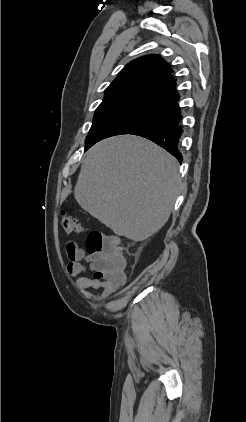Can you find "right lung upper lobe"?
Masks as SVG:
<instances>
[{
    "mask_svg": "<svg viewBox=\"0 0 246 422\" xmlns=\"http://www.w3.org/2000/svg\"><path fill=\"white\" fill-rule=\"evenodd\" d=\"M172 68L156 54L128 63L106 88L99 106H139L161 109L178 100Z\"/></svg>",
    "mask_w": 246,
    "mask_h": 422,
    "instance_id": "cb5924a9",
    "label": "right lung upper lobe"
}]
</instances>
